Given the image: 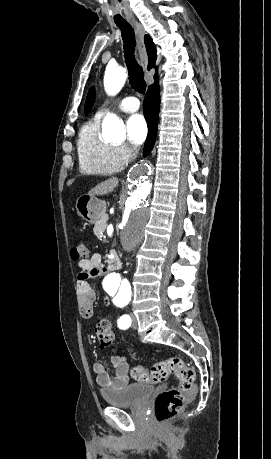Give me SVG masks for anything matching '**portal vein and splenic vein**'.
I'll return each mask as SVG.
<instances>
[{"instance_id":"18ae733b","label":"portal vein and splenic vein","mask_w":271,"mask_h":459,"mask_svg":"<svg viewBox=\"0 0 271 459\" xmlns=\"http://www.w3.org/2000/svg\"><path fill=\"white\" fill-rule=\"evenodd\" d=\"M107 226L106 225H103V228H106Z\"/></svg>"}]
</instances>
